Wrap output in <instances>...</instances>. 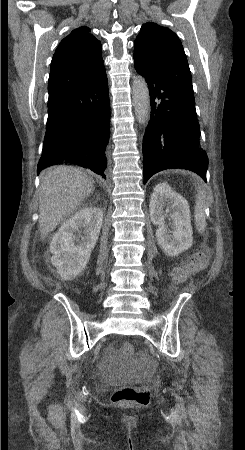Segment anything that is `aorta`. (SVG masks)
I'll list each match as a JSON object with an SVG mask.
<instances>
[{
  "mask_svg": "<svg viewBox=\"0 0 245 450\" xmlns=\"http://www.w3.org/2000/svg\"><path fill=\"white\" fill-rule=\"evenodd\" d=\"M132 99L137 120L139 123H146L150 115V97L147 83L141 76L133 80Z\"/></svg>",
  "mask_w": 245,
  "mask_h": 450,
  "instance_id": "762f6f07",
  "label": "aorta"
}]
</instances>
